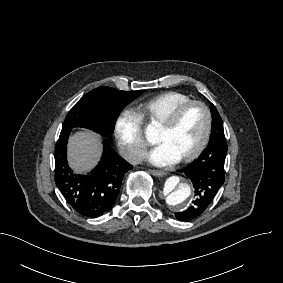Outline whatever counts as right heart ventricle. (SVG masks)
I'll list each match as a JSON object with an SVG mask.
<instances>
[{
	"label": "right heart ventricle",
	"mask_w": 283,
	"mask_h": 283,
	"mask_svg": "<svg viewBox=\"0 0 283 283\" xmlns=\"http://www.w3.org/2000/svg\"><path fill=\"white\" fill-rule=\"evenodd\" d=\"M190 100H192L191 97L185 93L169 91L138 102L134 107V112L142 121L159 124V121L165 118L169 111Z\"/></svg>",
	"instance_id": "e07e8e85"
}]
</instances>
